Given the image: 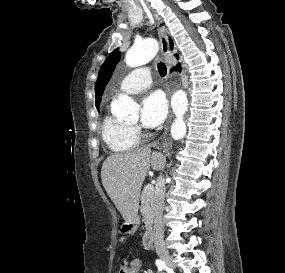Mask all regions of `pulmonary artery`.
<instances>
[{"instance_id": "obj_1", "label": "pulmonary artery", "mask_w": 285, "mask_h": 273, "mask_svg": "<svg viewBox=\"0 0 285 273\" xmlns=\"http://www.w3.org/2000/svg\"><path fill=\"white\" fill-rule=\"evenodd\" d=\"M152 83L151 69L139 67L126 74L119 83V90L126 93H136Z\"/></svg>"}]
</instances>
